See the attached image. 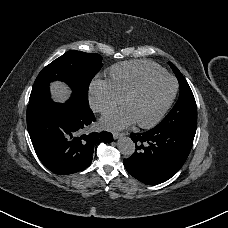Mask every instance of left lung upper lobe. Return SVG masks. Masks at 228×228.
<instances>
[{
    "instance_id": "left-lung-upper-lobe-1",
    "label": "left lung upper lobe",
    "mask_w": 228,
    "mask_h": 228,
    "mask_svg": "<svg viewBox=\"0 0 228 228\" xmlns=\"http://www.w3.org/2000/svg\"><path fill=\"white\" fill-rule=\"evenodd\" d=\"M169 65L179 81L180 95L173 109L157 126L166 128L187 127L196 129L197 107L194 95L178 68L171 62H169Z\"/></svg>"
}]
</instances>
